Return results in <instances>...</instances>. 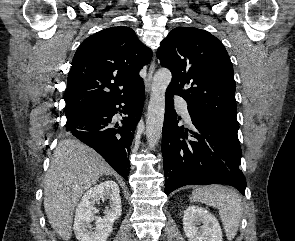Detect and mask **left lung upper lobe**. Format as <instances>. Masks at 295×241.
I'll return each instance as SVG.
<instances>
[{"instance_id":"obj_1","label":"left lung upper lobe","mask_w":295,"mask_h":241,"mask_svg":"<svg viewBox=\"0 0 295 241\" xmlns=\"http://www.w3.org/2000/svg\"><path fill=\"white\" fill-rule=\"evenodd\" d=\"M157 57L172 72L167 91L186 100L190 115L238 131L233 66L216 37L202 29L175 28Z\"/></svg>"}]
</instances>
